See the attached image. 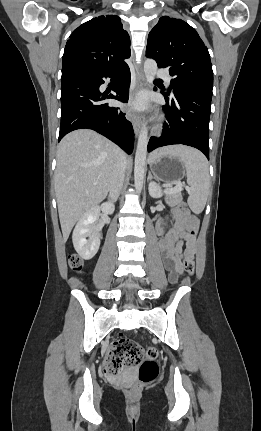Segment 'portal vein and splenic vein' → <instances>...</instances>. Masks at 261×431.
I'll use <instances>...</instances> for the list:
<instances>
[{"label":"portal vein and splenic vein","mask_w":261,"mask_h":431,"mask_svg":"<svg viewBox=\"0 0 261 431\" xmlns=\"http://www.w3.org/2000/svg\"><path fill=\"white\" fill-rule=\"evenodd\" d=\"M97 183H94V185H96ZM182 190V185L181 184H178L177 186H175V187H172V186H166V188H165V192L166 193H174V192H178V191H181Z\"/></svg>","instance_id":"portal-vein-and-splenic-vein-1"}]
</instances>
